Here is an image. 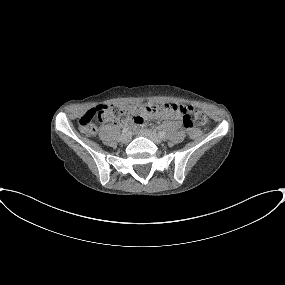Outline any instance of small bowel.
Here are the masks:
<instances>
[{"instance_id": "1", "label": "small bowel", "mask_w": 285, "mask_h": 285, "mask_svg": "<svg viewBox=\"0 0 285 285\" xmlns=\"http://www.w3.org/2000/svg\"><path fill=\"white\" fill-rule=\"evenodd\" d=\"M178 106H180V105L179 104H171V103H162L159 111H157L154 114H147L145 116L136 118L135 124L140 126V127H144L146 120L150 117H154V118L161 120V121L177 120V121L182 122L184 124L183 114L178 109H176Z\"/></svg>"}]
</instances>
